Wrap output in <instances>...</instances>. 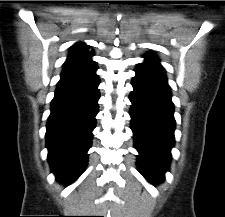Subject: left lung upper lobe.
Instances as JSON below:
<instances>
[{
	"instance_id": "1",
	"label": "left lung upper lobe",
	"mask_w": 225,
	"mask_h": 217,
	"mask_svg": "<svg viewBox=\"0 0 225 217\" xmlns=\"http://www.w3.org/2000/svg\"><path fill=\"white\" fill-rule=\"evenodd\" d=\"M145 59L147 60V61H159L158 60V58L156 57V56H154L153 54H148V55H146L145 56Z\"/></svg>"
}]
</instances>
